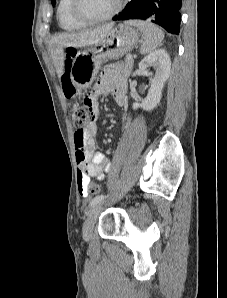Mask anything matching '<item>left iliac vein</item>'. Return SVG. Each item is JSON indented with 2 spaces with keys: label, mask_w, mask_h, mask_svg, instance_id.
Segmentation results:
<instances>
[{
  "label": "left iliac vein",
  "mask_w": 227,
  "mask_h": 298,
  "mask_svg": "<svg viewBox=\"0 0 227 298\" xmlns=\"http://www.w3.org/2000/svg\"><path fill=\"white\" fill-rule=\"evenodd\" d=\"M102 205V202H99L97 205H95L84 222L83 237L85 240H89L92 236L94 225L98 219L99 213L102 209Z\"/></svg>",
  "instance_id": "left-iliac-vein-1"
}]
</instances>
